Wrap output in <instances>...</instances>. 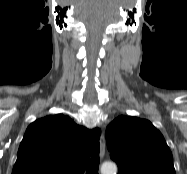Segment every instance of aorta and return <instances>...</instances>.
Masks as SVG:
<instances>
[{
	"instance_id": "1",
	"label": "aorta",
	"mask_w": 187,
	"mask_h": 174,
	"mask_svg": "<svg viewBox=\"0 0 187 174\" xmlns=\"http://www.w3.org/2000/svg\"><path fill=\"white\" fill-rule=\"evenodd\" d=\"M117 166L114 163L106 162L101 166V174H116Z\"/></svg>"
}]
</instances>
